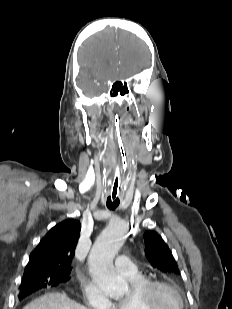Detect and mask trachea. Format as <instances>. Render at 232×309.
Masks as SVG:
<instances>
[{
    "mask_svg": "<svg viewBox=\"0 0 232 309\" xmlns=\"http://www.w3.org/2000/svg\"><path fill=\"white\" fill-rule=\"evenodd\" d=\"M121 179H122V164L119 160L116 161L114 175L112 178L110 195L107 198V207L109 210H115L119 203V194L121 191Z\"/></svg>",
    "mask_w": 232,
    "mask_h": 309,
    "instance_id": "1",
    "label": "trachea"
}]
</instances>
